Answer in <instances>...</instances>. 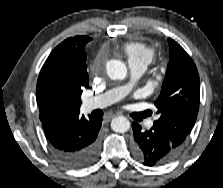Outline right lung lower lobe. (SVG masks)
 Wrapping results in <instances>:
<instances>
[{
  "label": "right lung lower lobe",
  "instance_id": "1",
  "mask_svg": "<svg viewBox=\"0 0 223 188\" xmlns=\"http://www.w3.org/2000/svg\"><path fill=\"white\" fill-rule=\"evenodd\" d=\"M101 125L102 118L92 116L42 123L51 151L58 160L72 168L86 167L97 159Z\"/></svg>",
  "mask_w": 223,
  "mask_h": 188
}]
</instances>
